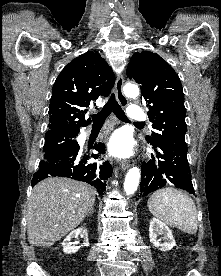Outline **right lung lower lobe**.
<instances>
[{
	"label": "right lung lower lobe",
	"instance_id": "98d812e1",
	"mask_svg": "<svg viewBox=\"0 0 221 276\" xmlns=\"http://www.w3.org/2000/svg\"><path fill=\"white\" fill-rule=\"evenodd\" d=\"M94 149L105 153L103 143H96ZM89 157L88 153H80L78 147L70 152L44 158L39 163V170L34 174L31 184L34 186L49 175L63 176L87 182L102 194L106 189V180L112 175V167L108 161L102 164L87 163ZM91 157L97 159L98 155L92 154Z\"/></svg>",
	"mask_w": 221,
	"mask_h": 276
}]
</instances>
